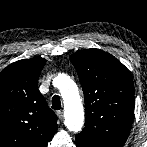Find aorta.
Returning a JSON list of instances; mask_svg holds the SVG:
<instances>
[{
	"instance_id": "aorta-1",
	"label": "aorta",
	"mask_w": 147,
	"mask_h": 147,
	"mask_svg": "<svg viewBox=\"0 0 147 147\" xmlns=\"http://www.w3.org/2000/svg\"><path fill=\"white\" fill-rule=\"evenodd\" d=\"M55 80L64 101L65 125L70 131L79 132L84 123V111L78 87L65 74H59Z\"/></svg>"
}]
</instances>
